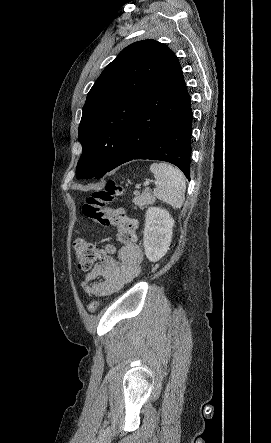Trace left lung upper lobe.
<instances>
[{
    "label": "left lung upper lobe",
    "mask_w": 271,
    "mask_h": 443,
    "mask_svg": "<svg viewBox=\"0 0 271 443\" xmlns=\"http://www.w3.org/2000/svg\"><path fill=\"white\" fill-rule=\"evenodd\" d=\"M175 56L155 40L135 42L104 69L87 95L79 124L83 147L78 179L103 177L110 169L136 110L152 83Z\"/></svg>",
    "instance_id": "obj_1"
}]
</instances>
